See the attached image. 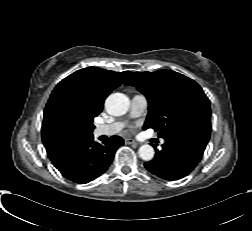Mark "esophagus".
<instances>
[{"label":"esophagus","instance_id":"obj_1","mask_svg":"<svg viewBox=\"0 0 252 231\" xmlns=\"http://www.w3.org/2000/svg\"><path fill=\"white\" fill-rule=\"evenodd\" d=\"M125 143L128 145H137V143L133 139H125Z\"/></svg>","mask_w":252,"mask_h":231}]
</instances>
